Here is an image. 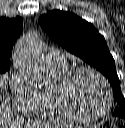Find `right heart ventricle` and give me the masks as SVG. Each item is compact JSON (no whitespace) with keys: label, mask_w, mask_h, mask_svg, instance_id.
<instances>
[{"label":"right heart ventricle","mask_w":125,"mask_h":128,"mask_svg":"<svg viewBox=\"0 0 125 128\" xmlns=\"http://www.w3.org/2000/svg\"><path fill=\"white\" fill-rule=\"evenodd\" d=\"M48 69L54 79V85L38 91L30 111L36 118L56 124L81 123L63 107L57 93L58 84L69 71L67 64L48 65Z\"/></svg>","instance_id":"obj_1"}]
</instances>
